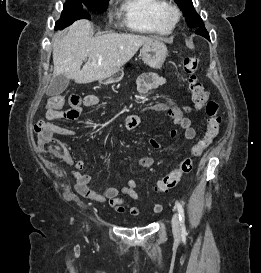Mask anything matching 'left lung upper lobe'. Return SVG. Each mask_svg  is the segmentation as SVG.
I'll use <instances>...</instances> for the list:
<instances>
[{
    "mask_svg": "<svg viewBox=\"0 0 261 273\" xmlns=\"http://www.w3.org/2000/svg\"><path fill=\"white\" fill-rule=\"evenodd\" d=\"M183 11L187 25L191 28L204 26L201 17L195 11L191 0H174Z\"/></svg>",
    "mask_w": 261,
    "mask_h": 273,
    "instance_id": "left-lung-upper-lobe-1",
    "label": "left lung upper lobe"
}]
</instances>
